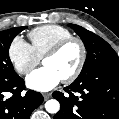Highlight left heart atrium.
<instances>
[{
	"label": "left heart atrium",
	"instance_id": "39dd6f15",
	"mask_svg": "<svg viewBox=\"0 0 119 119\" xmlns=\"http://www.w3.org/2000/svg\"><path fill=\"white\" fill-rule=\"evenodd\" d=\"M62 78L51 67L43 66L32 72L26 79L27 86L33 90L47 92L56 87Z\"/></svg>",
	"mask_w": 119,
	"mask_h": 119
}]
</instances>
